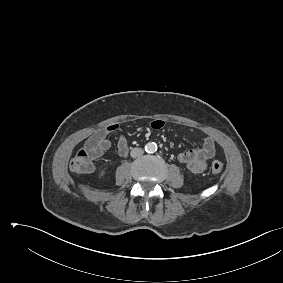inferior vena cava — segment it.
Returning <instances> with one entry per match:
<instances>
[{"mask_svg": "<svg viewBox=\"0 0 283 283\" xmlns=\"http://www.w3.org/2000/svg\"><path fill=\"white\" fill-rule=\"evenodd\" d=\"M143 149H141V148H133L132 150H131V157H133V158H136V157H138V156H141L142 154H143Z\"/></svg>", "mask_w": 283, "mask_h": 283, "instance_id": "602c4592", "label": "inferior vena cava"}]
</instances>
